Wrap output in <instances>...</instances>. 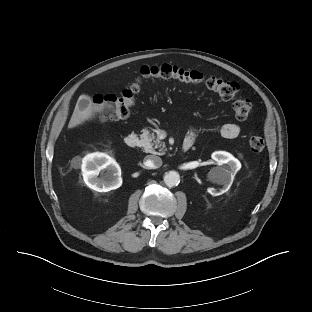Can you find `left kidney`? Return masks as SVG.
<instances>
[{
	"instance_id": "left-kidney-1",
	"label": "left kidney",
	"mask_w": 312,
	"mask_h": 312,
	"mask_svg": "<svg viewBox=\"0 0 312 312\" xmlns=\"http://www.w3.org/2000/svg\"><path fill=\"white\" fill-rule=\"evenodd\" d=\"M211 157L218 165H226V167H214L208 174L210 180L223 185L219 191L215 188L207 189L211 195L218 196L228 191L233 183L235 174L241 169V163L225 151H216L212 153Z\"/></svg>"
}]
</instances>
